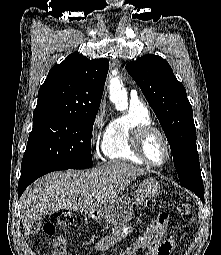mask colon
I'll return each instance as SVG.
<instances>
[{
	"mask_svg": "<svg viewBox=\"0 0 221 255\" xmlns=\"http://www.w3.org/2000/svg\"><path fill=\"white\" fill-rule=\"evenodd\" d=\"M177 212L182 216L190 214V205L185 200H181L177 204ZM169 216L167 213H160L157 219L148 227L147 233L152 235L165 229L168 223ZM74 220L69 212L55 213L51 219L44 225V233L46 235H54L56 225L64 228H71ZM53 255H67V243L62 236L56 237L52 242Z\"/></svg>",
	"mask_w": 221,
	"mask_h": 255,
	"instance_id": "1",
	"label": "colon"
}]
</instances>
